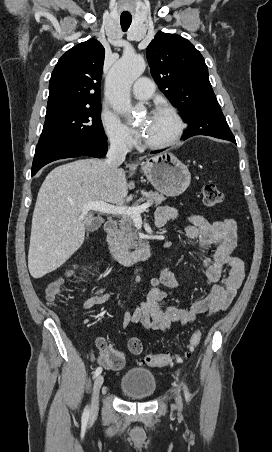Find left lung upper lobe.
<instances>
[{
    "mask_svg": "<svg viewBox=\"0 0 272 452\" xmlns=\"http://www.w3.org/2000/svg\"><path fill=\"white\" fill-rule=\"evenodd\" d=\"M146 57L153 78L181 111L189 131L216 137L233 135L213 92L204 58L193 44L177 34L158 32L147 47Z\"/></svg>",
    "mask_w": 272,
    "mask_h": 452,
    "instance_id": "left-lung-upper-lobe-1",
    "label": "left lung upper lobe"
}]
</instances>
